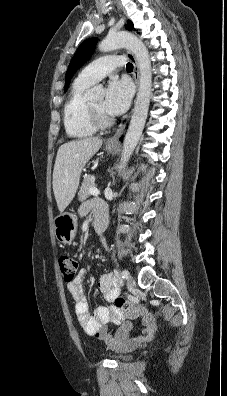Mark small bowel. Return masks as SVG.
<instances>
[{
	"label": "small bowel",
	"mask_w": 227,
	"mask_h": 396,
	"mask_svg": "<svg viewBox=\"0 0 227 396\" xmlns=\"http://www.w3.org/2000/svg\"><path fill=\"white\" fill-rule=\"evenodd\" d=\"M91 208L95 210V218L106 214L103 203L96 201L84 205L81 213L86 214ZM85 270H80L74 280L68 284V291L75 303V314L88 335L104 341L113 348H122L136 345L150 340L156 330L154 317L144 307L129 302L124 307H118L116 300L120 297V282L113 273H104L99 279V290L108 306L97 307L90 313L85 296ZM141 319L142 331L131 335L132 322ZM121 325L119 330L110 334L106 324Z\"/></svg>",
	"instance_id": "1"
}]
</instances>
